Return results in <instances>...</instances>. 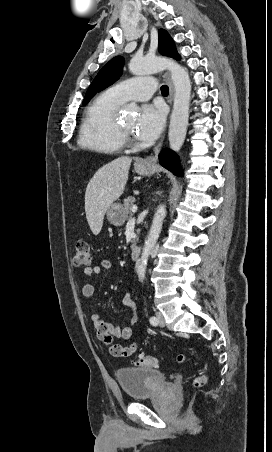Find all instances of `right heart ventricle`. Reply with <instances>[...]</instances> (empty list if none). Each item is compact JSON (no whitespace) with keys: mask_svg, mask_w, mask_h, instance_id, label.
Wrapping results in <instances>:
<instances>
[{"mask_svg":"<svg viewBox=\"0 0 272 452\" xmlns=\"http://www.w3.org/2000/svg\"><path fill=\"white\" fill-rule=\"evenodd\" d=\"M122 103L108 91L99 94L86 110L78 145L89 151L112 154L124 145L115 130V113Z\"/></svg>","mask_w":272,"mask_h":452,"instance_id":"1","label":"right heart ventricle"}]
</instances>
